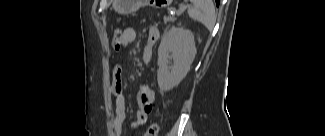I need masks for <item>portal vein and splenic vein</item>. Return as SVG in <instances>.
Instances as JSON below:
<instances>
[{"mask_svg": "<svg viewBox=\"0 0 325 136\" xmlns=\"http://www.w3.org/2000/svg\"><path fill=\"white\" fill-rule=\"evenodd\" d=\"M187 7H189L188 5L184 4V5H181V7L178 9L177 11V15H180L181 13L184 12L185 9H187Z\"/></svg>", "mask_w": 325, "mask_h": 136, "instance_id": "obj_1", "label": "portal vein and splenic vein"}]
</instances>
